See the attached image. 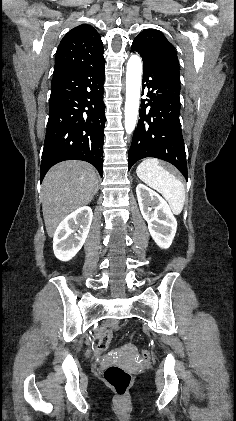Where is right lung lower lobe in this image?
I'll use <instances>...</instances> for the list:
<instances>
[{
	"label": "right lung lower lobe",
	"instance_id": "98d812e1",
	"mask_svg": "<svg viewBox=\"0 0 236 421\" xmlns=\"http://www.w3.org/2000/svg\"><path fill=\"white\" fill-rule=\"evenodd\" d=\"M105 60L53 76L40 180L64 160L91 163L102 176Z\"/></svg>",
	"mask_w": 236,
	"mask_h": 421
}]
</instances>
